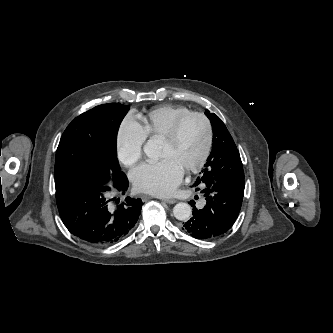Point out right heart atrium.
I'll return each instance as SVG.
<instances>
[{
    "mask_svg": "<svg viewBox=\"0 0 333 333\" xmlns=\"http://www.w3.org/2000/svg\"><path fill=\"white\" fill-rule=\"evenodd\" d=\"M146 139L141 124L132 115H127L122 120L115 138L118 160L126 167L133 166L142 156Z\"/></svg>",
    "mask_w": 333,
    "mask_h": 333,
    "instance_id": "right-heart-atrium-1",
    "label": "right heart atrium"
}]
</instances>
